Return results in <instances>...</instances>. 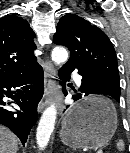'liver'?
<instances>
[{"instance_id":"liver-1","label":"liver","mask_w":130,"mask_h":153,"mask_svg":"<svg viewBox=\"0 0 130 153\" xmlns=\"http://www.w3.org/2000/svg\"><path fill=\"white\" fill-rule=\"evenodd\" d=\"M18 139L9 129L0 125V153H17Z\"/></svg>"}]
</instances>
